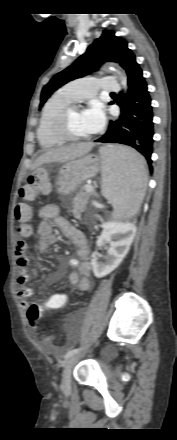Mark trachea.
I'll list each match as a JSON object with an SVG mask.
<instances>
[{
	"label": "trachea",
	"mask_w": 177,
	"mask_h": 440,
	"mask_svg": "<svg viewBox=\"0 0 177 440\" xmlns=\"http://www.w3.org/2000/svg\"><path fill=\"white\" fill-rule=\"evenodd\" d=\"M111 95H115V93H111Z\"/></svg>",
	"instance_id": "obj_1"
}]
</instances>
